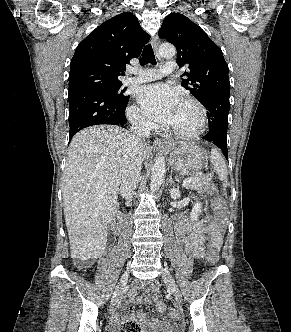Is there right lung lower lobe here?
I'll return each mask as SVG.
<instances>
[{
  "mask_svg": "<svg viewBox=\"0 0 291 332\" xmlns=\"http://www.w3.org/2000/svg\"><path fill=\"white\" fill-rule=\"evenodd\" d=\"M69 140L81 129L99 124H125L128 103H120L97 88L69 93Z\"/></svg>",
  "mask_w": 291,
  "mask_h": 332,
  "instance_id": "right-lung-lower-lobe-1",
  "label": "right lung lower lobe"
}]
</instances>
